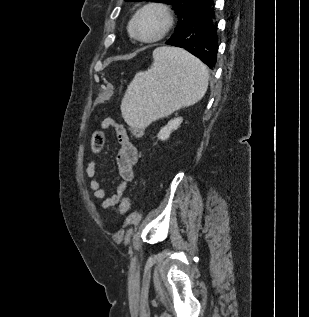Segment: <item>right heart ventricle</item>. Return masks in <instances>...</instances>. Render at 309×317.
Listing matches in <instances>:
<instances>
[{"label":"right heart ventricle","instance_id":"e07e8e85","mask_svg":"<svg viewBox=\"0 0 309 317\" xmlns=\"http://www.w3.org/2000/svg\"><path fill=\"white\" fill-rule=\"evenodd\" d=\"M128 29L129 32L132 34V20L129 22Z\"/></svg>","mask_w":309,"mask_h":317}]
</instances>
